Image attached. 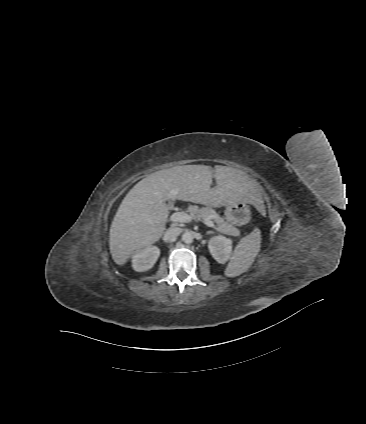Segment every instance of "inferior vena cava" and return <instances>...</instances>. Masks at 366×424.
Segmentation results:
<instances>
[{"instance_id": "602c4592", "label": "inferior vena cava", "mask_w": 366, "mask_h": 424, "mask_svg": "<svg viewBox=\"0 0 366 424\" xmlns=\"http://www.w3.org/2000/svg\"><path fill=\"white\" fill-rule=\"evenodd\" d=\"M181 232H182L181 228L171 227L165 232L163 240L166 242L174 240L181 234Z\"/></svg>"}]
</instances>
